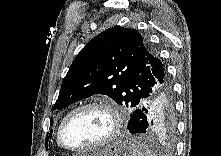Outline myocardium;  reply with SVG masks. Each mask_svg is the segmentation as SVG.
Here are the masks:
<instances>
[{
    "mask_svg": "<svg viewBox=\"0 0 221 156\" xmlns=\"http://www.w3.org/2000/svg\"><path fill=\"white\" fill-rule=\"evenodd\" d=\"M89 108H100L105 110L110 115L111 129L109 133L102 140L98 141L93 145L85 147H71L67 145L64 141V130L67 123L74 115ZM121 128H122V116L118 108L113 103L107 100H93L75 107L62 119L57 132V141L59 145L67 151L71 152L88 151L102 147L113 141L120 133Z\"/></svg>",
    "mask_w": 221,
    "mask_h": 156,
    "instance_id": "obj_1",
    "label": "myocardium"
}]
</instances>
